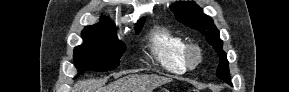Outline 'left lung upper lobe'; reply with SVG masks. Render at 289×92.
<instances>
[{"label":"left lung upper lobe","instance_id":"left-lung-upper-lobe-1","mask_svg":"<svg viewBox=\"0 0 289 92\" xmlns=\"http://www.w3.org/2000/svg\"><path fill=\"white\" fill-rule=\"evenodd\" d=\"M170 9L181 23L190 28L197 29L205 35L206 40L213 46L220 57L216 73L217 77L229 82L230 75L227 56L222 49L223 42L212 19L205 15L203 10L193 1H177L170 6Z\"/></svg>","mask_w":289,"mask_h":92}]
</instances>
